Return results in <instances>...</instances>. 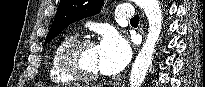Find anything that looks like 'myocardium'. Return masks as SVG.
Instances as JSON below:
<instances>
[{
  "mask_svg": "<svg viewBox=\"0 0 205 87\" xmlns=\"http://www.w3.org/2000/svg\"><path fill=\"white\" fill-rule=\"evenodd\" d=\"M89 46H96V43L89 38L75 39L62 49L59 56V64L62 71L72 79L79 82H93L101 77L100 73L91 75L84 74L77 65V54L83 48Z\"/></svg>",
  "mask_w": 205,
  "mask_h": 87,
  "instance_id": "f54148a6",
  "label": "myocardium"
}]
</instances>
